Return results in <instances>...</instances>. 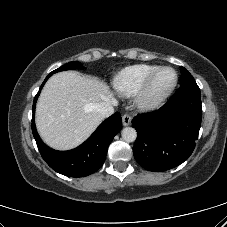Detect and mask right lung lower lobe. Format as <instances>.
I'll use <instances>...</instances> for the list:
<instances>
[{
    "instance_id": "1",
    "label": "right lung lower lobe",
    "mask_w": 227,
    "mask_h": 227,
    "mask_svg": "<svg viewBox=\"0 0 227 227\" xmlns=\"http://www.w3.org/2000/svg\"><path fill=\"white\" fill-rule=\"evenodd\" d=\"M52 75L50 73L34 98L32 132L39 152L45 162L56 172L68 177H84L97 171L104 163L108 146L122 127L120 113L116 112L96 129V131L79 147L69 151H56L45 145L40 139L34 122L35 105L39 93Z\"/></svg>"
}]
</instances>
